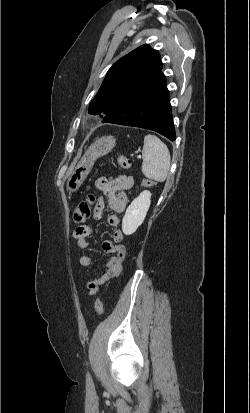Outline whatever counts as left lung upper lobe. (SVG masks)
I'll list each match as a JSON object with an SVG mask.
<instances>
[{"label": "left lung upper lobe", "instance_id": "left-lung-upper-lobe-1", "mask_svg": "<svg viewBox=\"0 0 250 413\" xmlns=\"http://www.w3.org/2000/svg\"><path fill=\"white\" fill-rule=\"evenodd\" d=\"M163 76L159 52L148 44L140 46L111 66L91 101L88 112L112 115L133 95L138 84H145Z\"/></svg>", "mask_w": 250, "mask_h": 413}]
</instances>
